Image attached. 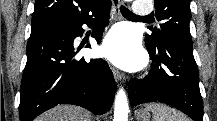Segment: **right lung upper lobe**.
<instances>
[{
	"label": "right lung upper lobe",
	"mask_w": 217,
	"mask_h": 121,
	"mask_svg": "<svg viewBox=\"0 0 217 121\" xmlns=\"http://www.w3.org/2000/svg\"><path fill=\"white\" fill-rule=\"evenodd\" d=\"M111 0H35L32 23L55 20L68 24L97 14Z\"/></svg>",
	"instance_id": "cb5924a9"
}]
</instances>
